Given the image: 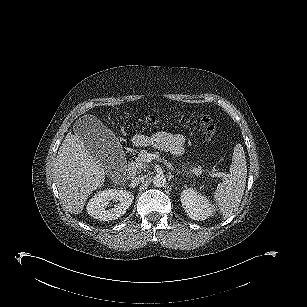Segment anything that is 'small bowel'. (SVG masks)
<instances>
[{"instance_id":"small-bowel-1","label":"small bowel","mask_w":307,"mask_h":307,"mask_svg":"<svg viewBox=\"0 0 307 307\" xmlns=\"http://www.w3.org/2000/svg\"><path fill=\"white\" fill-rule=\"evenodd\" d=\"M156 142L174 155H181L184 152L182 138L172 134L161 132L156 135Z\"/></svg>"}]
</instances>
